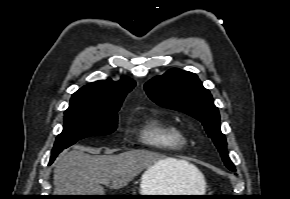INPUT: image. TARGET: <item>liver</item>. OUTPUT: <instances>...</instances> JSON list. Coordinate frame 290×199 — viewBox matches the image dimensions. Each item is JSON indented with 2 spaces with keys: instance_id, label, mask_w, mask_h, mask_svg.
<instances>
[{
  "instance_id": "liver-1",
  "label": "liver",
  "mask_w": 290,
  "mask_h": 199,
  "mask_svg": "<svg viewBox=\"0 0 290 199\" xmlns=\"http://www.w3.org/2000/svg\"><path fill=\"white\" fill-rule=\"evenodd\" d=\"M158 164L179 178L176 193H191L200 171L185 160L164 158L147 150H131L118 155L96 156L83 150L64 152L54 169L55 195H104L101 186L111 181V189L127 186L141 171ZM201 173V172H200ZM203 175V174H202ZM204 177V176H203Z\"/></svg>"
}]
</instances>
